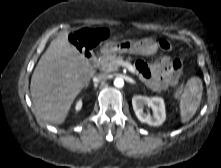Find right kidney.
Instances as JSON below:
<instances>
[{
	"instance_id": "ca27d5eb",
	"label": "right kidney",
	"mask_w": 221,
	"mask_h": 168,
	"mask_svg": "<svg viewBox=\"0 0 221 168\" xmlns=\"http://www.w3.org/2000/svg\"><path fill=\"white\" fill-rule=\"evenodd\" d=\"M82 107V102L81 101H78L77 104H76V110H80Z\"/></svg>"
}]
</instances>
